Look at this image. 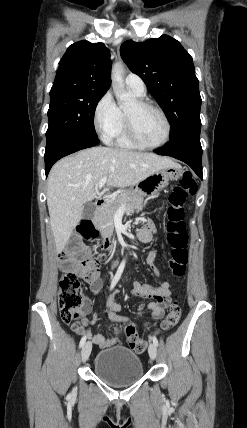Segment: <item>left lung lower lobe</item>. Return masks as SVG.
I'll return each instance as SVG.
<instances>
[{
    "instance_id": "left-lung-lower-lobe-1",
    "label": "left lung lower lobe",
    "mask_w": 247,
    "mask_h": 428,
    "mask_svg": "<svg viewBox=\"0 0 247 428\" xmlns=\"http://www.w3.org/2000/svg\"><path fill=\"white\" fill-rule=\"evenodd\" d=\"M155 152L159 155L171 156L185 162L201 180L203 179L200 133L189 134L181 139L171 141L165 147L156 149Z\"/></svg>"
}]
</instances>
